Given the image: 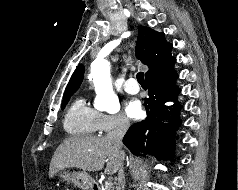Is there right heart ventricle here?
<instances>
[{"mask_svg": "<svg viewBox=\"0 0 238 190\" xmlns=\"http://www.w3.org/2000/svg\"><path fill=\"white\" fill-rule=\"evenodd\" d=\"M63 124L71 135H93L98 131L97 111L78 98L69 107Z\"/></svg>", "mask_w": 238, "mask_h": 190, "instance_id": "e07e8e85", "label": "right heart ventricle"}]
</instances>
